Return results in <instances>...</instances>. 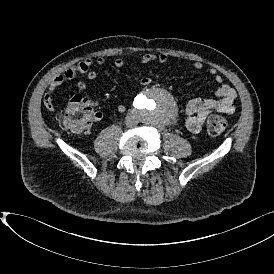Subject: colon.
<instances>
[{
    "mask_svg": "<svg viewBox=\"0 0 274 274\" xmlns=\"http://www.w3.org/2000/svg\"><path fill=\"white\" fill-rule=\"evenodd\" d=\"M56 82H58L57 79ZM93 119L94 117L91 110L84 106L81 100L70 102L56 118L59 126L74 133L81 132ZM226 128L227 122L223 116L212 115L209 117L207 121V130L210 134H222Z\"/></svg>",
    "mask_w": 274,
    "mask_h": 274,
    "instance_id": "colon-1",
    "label": "colon"
}]
</instances>
